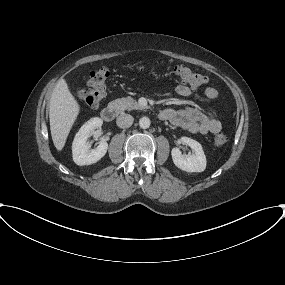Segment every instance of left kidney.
Returning a JSON list of instances; mask_svg holds the SVG:
<instances>
[{"instance_id": "5707ae66", "label": "left kidney", "mask_w": 285, "mask_h": 285, "mask_svg": "<svg viewBox=\"0 0 285 285\" xmlns=\"http://www.w3.org/2000/svg\"><path fill=\"white\" fill-rule=\"evenodd\" d=\"M181 142L187 144L194 153L183 155L179 148H173L171 155L174 164L186 172H203L206 169V156L201 144L188 137H182Z\"/></svg>"}]
</instances>
